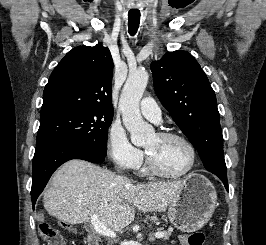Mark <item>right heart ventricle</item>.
Returning a JSON list of instances; mask_svg holds the SVG:
<instances>
[{
    "label": "right heart ventricle",
    "mask_w": 266,
    "mask_h": 245,
    "mask_svg": "<svg viewBox=\"0 0 266 245\" xmlns=\"http://www.w3.org/2000/svg\"><path fill=\"white\" fill-rule=\"evenodd\" d=\"M140 173H141L142 175H146V174H148V170H147V168H146L145 166H142V167L140 168Z\"/></svg>",
    "instance_id": "1"
}]
</instances>
